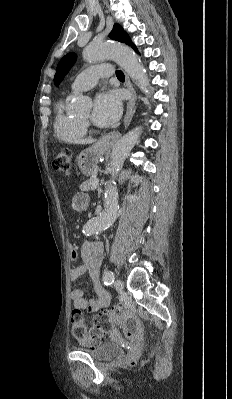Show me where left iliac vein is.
<instances>
[{
    "label": "left iliac vein",
    "instance_id": "1",
    "mask_svg": "<svg viewBox=\"0 0 232 399\" xmlns=\"http://www.w3.org/2000/svg\"><path fill=\"white\" fill-rule=\"evenodd\" d=\"M113 286L115 289H117L118 292H121L122 289L125 288V285L123 284V281H113Z\"/></svg>",
    "mask_w": 232,
    "mask_h": 399
}]
</instances>
